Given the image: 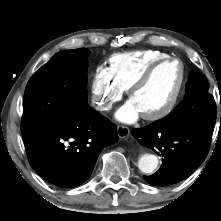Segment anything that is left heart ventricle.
I'll list each match as a JSON object with an SVG mask.
<instances>
[{"mask_svg": "<svg viewBox=\"0 0 221 221\" xmlns=\"http://www.w3.org/2000/svg\"><path fill=\"white\" fill-rule=\"evenodd\" d=\"M180 77V65L176 62L167 63L155 71L150 80L133 94L131 100L141 114L154 113L170 101Z\"/></svg>", "mask_w": 221, "mask_h": 221, "instance_id": "obj_1", "label": "left heart ventricle"}]
</instances>
